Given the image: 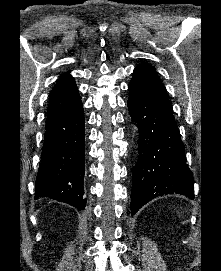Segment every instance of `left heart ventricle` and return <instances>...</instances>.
Segmentation results:
<instances>
[{"label":"left heart ventricle","mask_w":221,"mask_h":271,"mask_svg":"<svg viewBox=\"0 0 221 271\" xmlns=\"http://www.w3.org/2000/svg\"><path fill=\"white\" fill-rule=\"evenodd\" d=\"M144 87H157V86H144ZM154 93H157V92H154Z\"/></svg>","instance_id":"b2bd125f"}]
</instances>
